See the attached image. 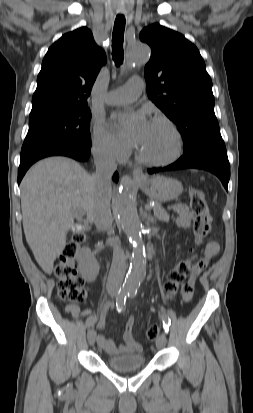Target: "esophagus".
<instances>
[{
  "instance_id": "34e87169",
  "label": "esophagus",
  "mask_w": 253,
  "mask_h": 413,
  "mask_svg": "<svg viewBox=\"0 0 253 413\" xmlns=\"http://www.w3.org/2000/svg\"><path fill=\"white\" fill-rule=\"evenodd\" d=\"M133 176H134V178H137V179H143L145 177L144 174H143V171L140 167H135L134 168Z\"/></svg>"
}]
</instances>
